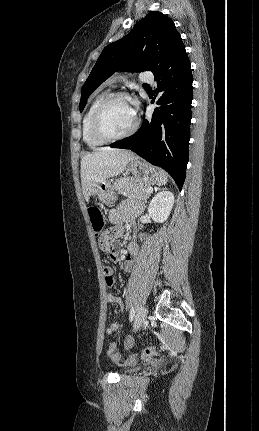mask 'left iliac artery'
<instances>
[{
  "label": "left iliac artery",
  "mask_w": 259,
  "mask_h": 431,
  "mask_svg": "<svg viewBox=\"0 0 259 431\" xmlns=\"http://www.w3.org/2000/svg\"><path fill=\"white\" fill-rule=\"evenodd\" d=\"M134 316H135V310L132 307L131 310H130V321H132L134 319Z\"/></svg>",
  "instance_id": "left-iliac-artery-1"
}]
</instances>
